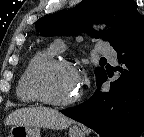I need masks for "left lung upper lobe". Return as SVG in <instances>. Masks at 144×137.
I'll return each instance as SVG.
<instances>
[{"mask_svg":"<svg viewBox=\"0 0 144 137\" xmlns=\"http://www.w3.org/2000/svg\"><path fill=\"white\" fill-rule=\"evenodd\" d=\"M144 16L137 11L133 0H83L71 10L58 12L36 22V29L42 36L77 35L85 31L91 23H105L112 29L91 34L108 41L114 49L121 46L141 25ZM106 71L102 67L95 70L97 83Z\"/></svg>","mask_w":144,"mask_h":137,"instance_id":"left-lung-upper-lobe-1","label":"left lung upper lobe"}]
</instances>
